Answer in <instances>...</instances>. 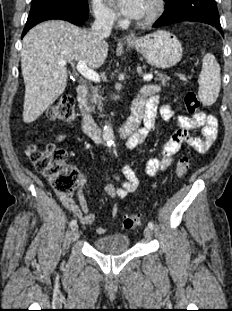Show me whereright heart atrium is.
<instances>
[{"label":"right heart atrium","instance_id":"1","mask_svg":"<svg viewBox=\"0 0 232 311\" xmlns=\"http://www.w3.org/2000/svg\"><path fill=\"white\" fill-rule=\"evenodd\" d=\"M92 9L95 19L104 25H114L117 21V14L102 0H92Z\"/></svg>","mask_w":232,"mask_h":311}]
</instances>
